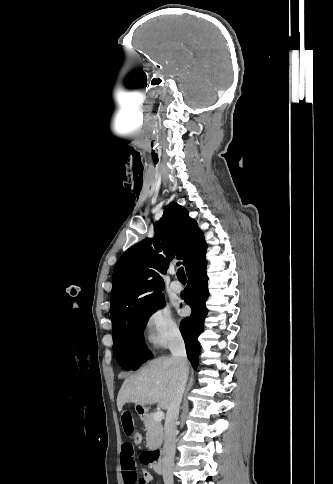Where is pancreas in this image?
<instances>
[{
  "label": "pancreas",
  "instance_id": "pancreas-1",
  "mask_svg": "<svg viewBox=\"0 0 333 484\" xmlns=\"http://www.w3.org/2000/svg\"><path fill=\"white\" fill-rule=\"evenodd\" d=\"M143 421L146 430V446L150 450L159 448L164 437L162 423L153 419V413L147 414Z\"/></svg>",
  "mask_w": 333,
  "mask_h": 484
}]
</instances>
